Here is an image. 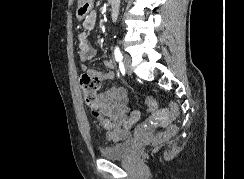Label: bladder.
I'll list each match as a JSON object with an SVG mask.
<instances>
[{"instance_id":"bladder-1","label":"bladder","mask_w":244,"mask_h":179,"mask_svg":"<svg viewBox=\"0 0 244 179\" xmlns=\"http://www.w3.org/2000/svg\"><path fill=\"white\" fill-rule=\"evenodd\" d=\"M133 138L127 139L122 142L111 145L110 147H104L100 149L101 157L105 159H123L127 157L133 150Z\"/></svg>"}]
</instances>
